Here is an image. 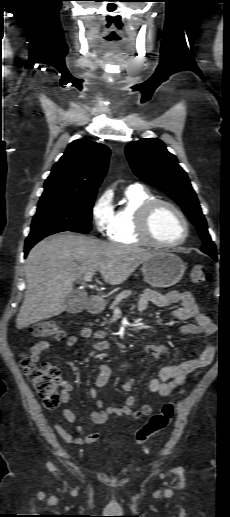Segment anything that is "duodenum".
Listing matches in <instances>:
<instances>
[{"label":"duodenum","mask_w":230,"mask_h":517,"mask_svg":"<svg viewBox=\"0 0 230 517\" xmlns=\"http://www.w3.org/2000/svg\"><path fill=\"white\" fill-rule=\"evenodd\" d=\"M88 311L92 314L100 313L103 310L102 299L97 295H91L88 300Z\"/></svg>","instance_id":"410a0bca"}]
</instances>
